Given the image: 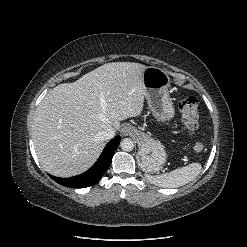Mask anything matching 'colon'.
Masks as SVG:
<instances>
[{
  "label": "colon",
  "instance_id": "1",
  "mask_svg": "<svg viewBox=\"0 0 247 247\" xmlns=\"http://www.w3.org/2000/svg\"><path fill=\"white\" fill-rule=\"evenodd\" d=\"M181 112V120L185 130L188 133H193L198 127V100L194 96H189L179 103ZM204 144L202 141H196L193 144V150L196 153L202 152Z\"/></svg>",
  "mask_w": 247,
  "mask_h": 247
}]
</instances>
